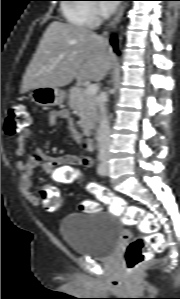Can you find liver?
Segmentation results:
<instances>
[{
  "mask_svg": "<svg viewBox=\"0 0 180 299\" xmlns=\"http://www.w3.org/2000/svg\"><path fill=\"white\" fill-rule=\"evenodd\" d=\"M114 60L108 41L92 30L53 21L46 29L26 73L20 93L38 87H63L100 81Z\"/></svg>",
  "mask_w": 180,
  "mask_h": 299,
  "instance_id": "liver-1",
  "label": "liver"
}]
</instances>
